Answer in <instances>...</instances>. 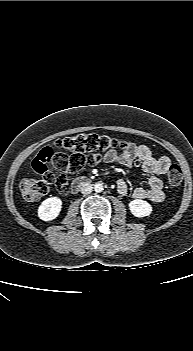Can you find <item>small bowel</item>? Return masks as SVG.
<instances>
[{"instance_id":"obj_1","label":"small bowel","mask_w":193,"mask_h":351,"mask_svg":"<svg viewBox=\"0 0 193 351\" xmlns=\"http://www.w3.org/2000/svg\"><path fill=\"white\" fill-rule=\"evenodd\" d=\"M105 163H117L125 167H131L135 162L140 163L143 171L149 175L147 187H137L132 192L134 199L149 200L153 203H161L164 198L162 175L169 167L170 160L166 156L155 157L151 149L146 145L125 143L121 153L116 150L108 151L103 156ZM117 191L126 195L129 191L125 180L117 181Z\"/></svg>"}]
</instances>
